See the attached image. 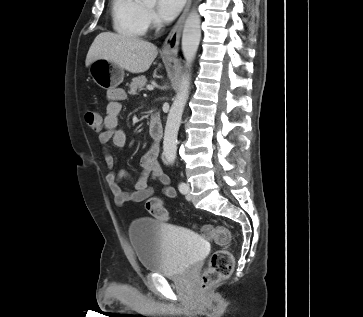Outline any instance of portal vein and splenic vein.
Wrapping results in <instances>:
<instances>
[{
	"label": "portal vein and splenic vein",
	"mask_w": 363,
	"mask_h": 317,
	"mask_svg": "<svg viewBox=\"0 0 363 317\" xmlns=\"http://www.w3.org/2000/svg\"><path fill=\"white\" fill-rule=\"evenodd\" d=\"M147 89H148L149 91H151V90H153V89H154V87H153L152 85H148V86H147Z\"/></svg>",
	"instance_id": "portal-vein-and-splenic-vein-1"
}]
</instances>
